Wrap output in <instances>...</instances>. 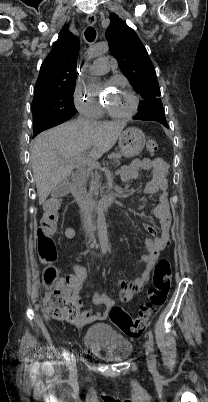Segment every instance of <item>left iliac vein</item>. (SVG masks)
I'll use <instances>...</instances> for the list:
<instances>
[{"label":"left iliac vein","mask_w":208,"mask_h":402,"mask_svg":"<svg viewBox=\"0 0 208 402\" xmlns=\"http://www.w3.org/2000/svg\"><path fill=\"white\" fill-rule=\"evenodd\" d=\"M145 351H146V356H147V363L150 366H153L155 364V357L152 354L151 346L148 341H146V343H145Z\"/></svg>","instance_id":"left-iliac-vein-1"}]
</instances>
